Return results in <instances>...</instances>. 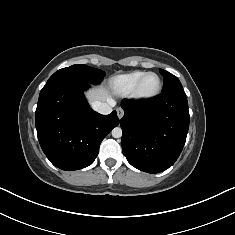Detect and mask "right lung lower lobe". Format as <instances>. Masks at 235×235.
<instances>
[{"label": "right lung lower lobe", "mask_w": 235, "mask_h": 235, "mask_svg": "<svg viewBox=\"0 0 235 235\" xmlns=\"http://www.w3.org/2000/svg\"><path fill=\"white\" fill-rule=\"evenodd\" d=\"M89 83L77 79L47 82L35 113L40 146L50 162L67 171L91 165L106 135L119 124L116 111L101 115L87 103Z\"/></svg>", "instance_id": "right-lung-lower-lobe-1"}]
</instances>
